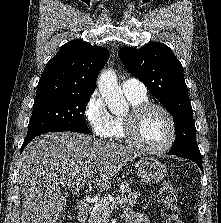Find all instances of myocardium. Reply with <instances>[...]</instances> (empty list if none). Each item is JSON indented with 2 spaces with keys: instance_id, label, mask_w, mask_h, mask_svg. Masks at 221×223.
Here are the masks:
<instances>
[{
  "instance_id": "1",
  "label": "myocardium",
  "mask_w": 221,
  "mask_h": 223,
  "mask_svg": "<svg viewBox=\"0 0 221 223\" xmlns=\"http://www.w3.org/2000/svg\"><path fill=\"white\" fill-rule=\"evenodd\" d=\"M157 109L163 112L169 121L170 136L166 143L161 146H152L139 140L137 136L138 124L141 117L149 110ZM124 137L132 146L148 152H163L168 150L176 141L177 126L173 114L165 106L159 103L145 102L133 106L124 120Z\"/></svg>"
}]
</instances>
